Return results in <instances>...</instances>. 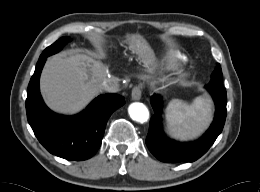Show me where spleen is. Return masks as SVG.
Here are the masks:
<instances>
[{"mask_svg":"<svg viewBox=\"0 0 260 192\" xmlns=\"http://www.w3.org/2000/svg\"><path fill=\"white\" fill-rule=\"evenodd\" d=\"M212 119V104L205 96L197 97L192 104L171 101L166 109L167 126L172 137L190 140L199 136Z\"/></svg>","mask_w":260,"mask_h":192,"instance_id":"spleen-1","label":"spleen"}]
</instances>
